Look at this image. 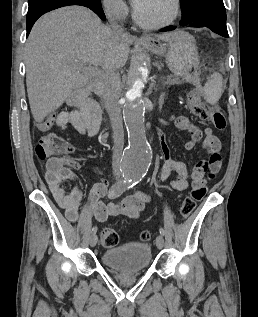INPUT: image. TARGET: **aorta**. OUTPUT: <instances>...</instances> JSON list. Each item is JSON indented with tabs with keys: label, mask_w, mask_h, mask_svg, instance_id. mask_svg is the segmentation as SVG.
<instances>
[{
	"label": "aorta",
	"mask_w": 258,
	"mask_h": 317,
	"mask_svg": "<svg viewBox=\"0 0 258 317\" xmlns=\"http://www.w3.org/2000/svg\"><path fill=\"white\" fill-rule=\"evenodd\" d=\"M140 71H144V69L141 68ZM143 88L142 79L137 78L126 94V102L123 107L128 146L123 153L120 168L126 179L134 181L144 177L151 162V151L145 134V108L141 99Z\"/></svg>",
	"instance_id": "obj_1"
}]
</instances>
